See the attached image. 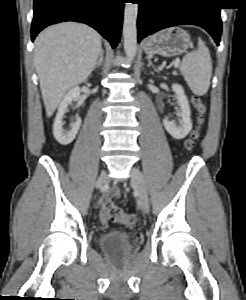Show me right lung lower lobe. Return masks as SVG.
Segmentation results:
<instances>
[{
    "label": "right lung lower lobe",
    "instance_id": "right-lung-lower-lobe-1",
    "mask_svg": "<svg viewBox=\"0 0 246 300\" xmlns=\"http://www.w3.org/2000/svg\"><path fill=\"white\" fill-rule=\"evenodd\" d=\"M125 0H34L31 40L45 27L78 21L96 29L115 48L120 40Z\"/></svg>",
    "mask_w": 246,
    "mask_h": 300
}]
</instances>
